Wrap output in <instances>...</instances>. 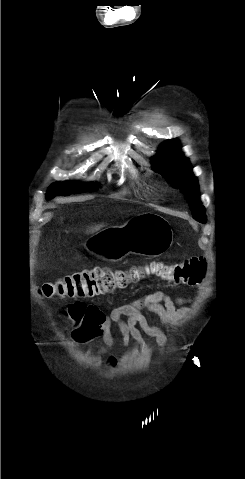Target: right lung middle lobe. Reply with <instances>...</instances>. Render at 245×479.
<instances>
[{
  "mask_svg": "<svg viewBox=\"0 0 245 479\" xmlns=\"http://www.w3.org/2000/svg\"><path fill=\"white\" fill-rule=\"evenodd\" d=\"M77 188L76 192H86V191H95L98 189V184L91 183V184H78L77 182L73 183H54L48 189L47 198L50 199L56 194L61 195H70L71 188Z\"/></svg>",
  "mask_w": 245,
  "mask_h": 479,
  "instance_id": "obj_1",
  "label": "right lung middle lobe"
}]
</instances>
